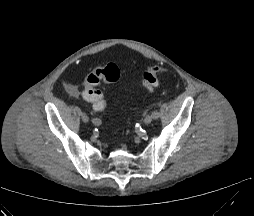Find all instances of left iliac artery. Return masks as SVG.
Here are the masks:
<instances>
[{
	"label": "left iliac artery",
	"instance_id": "1",
	"mask_svg": "<svg viewBox=\"0 0 254 216\" xmlns=\"http://www.w3.org/2000/svg\"><path fill=\"white\" fill-rule=\"evenodd\" d=\"M153 119H158L160 117V112L158 110H154L151 113Z\"/></svg>",
	"mask_w": 254,
	"mask_h": 216
}]
</instances>
